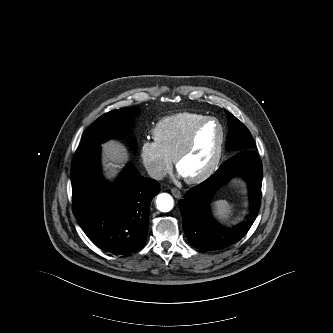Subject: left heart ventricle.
<instances>
[{
  "label": "left heart ventricle",
  "instance_id": "1",
  "mask_svg": "<svg viewBox=\"0 0 333 333\" xmlns=\"http://www.w3.org/2000/svg\"><path fill=\"white\" fill-rule=\"evenodd\" d=\"M219 138L220 131L214 123L199 131L192 149L179 163V172L183 177L196 176L208 168L216 154Z\"/></svg>",
  "mask_w": 333,
  "mask_h": 333
}]
</instances>
